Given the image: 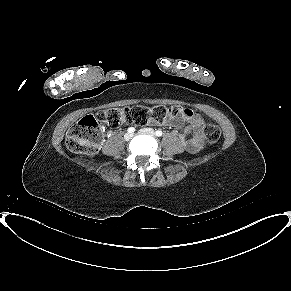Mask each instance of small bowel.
I'll return each instance as SVG.
<instances>
[{
	"instance_id": "obj_1",
	"label": "small bowel",
	"mask_w": 291,
	"mask_h": 291,
	"mask_svg": "<svg viewBox=\"0 0 291 291\" xmlns=\"http://www.w3.org/2000/svg\"><path fill=\"white\" fill-rule=\"evenodd\" d=\"M179 110L178 117H167L160 124L177 128L186 123L187 126L184 132L179 135V139L188 152L195 153L204 144V120L189 108L179 107Z\"/></svg>"
}]
</instances>
